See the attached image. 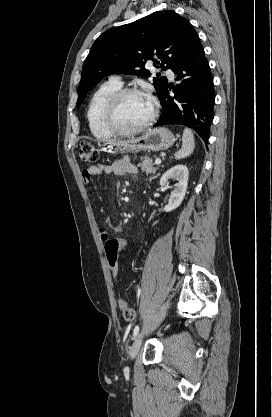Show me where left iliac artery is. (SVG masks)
Wrapping results in <instances>:
<instances>
[{"label": "left iliac artery", "mask_w": 272, "mask_h": 417, "mask_svg": "<svg viewBox=\"0 0 272 417\" xmlns=\"http://www.w3.org/2000/svg\"><path fill=\"white\" fill-rule=\"evenodd\" d=\"M138 332H139V326L137 325V326H135V328L133 330V337H132V339H135V337L137 336Z\"/></svg>", "instance_id": "left-iliac-artery-1"}]
</instances>
